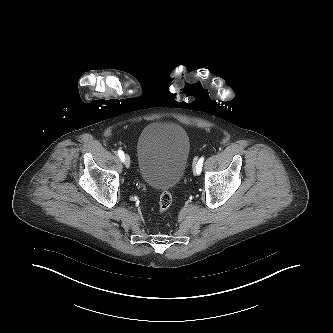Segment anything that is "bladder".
Instances as JSON below:
<instances>
[{
    "mask_svg": "<svg viewBox=\"0 0 333 333\" xmlns=\"http://www.w3.org/2000/svg\"><path fill=\"white\" fill-rule=\"evenodd\" d=\"M190 155V139L183 127L157 122L145 127L137 141V169L150 188L168 190L182 180Z\"/></svg>",
    "mask_w": 333,
    "mask_h": 333,
    "instance_id": "bladder-1",
    "label": "bladder"
}]
</instances>
